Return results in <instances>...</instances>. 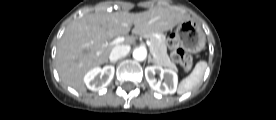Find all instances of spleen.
I'll return each instance as SVG.
<instances>
[{
  "mask_svg": "<svg viewBox=\"0 0 276 120\" xmlns=\"http://www.w3.org/2000/svg\"><path fill=\"white\" fill-rule=\"evenodd\" d=\"M206 68H207V62L199 61L195 65V68L192 71V73L180 82L177 93L179 95H182L190 91L196 85H198L203 78Z\"/></svg>",
  "mask_w": 276,
  "mask_h": 120,
  "instance_id": "spleen-1",
  "label": "spleen"
}]
</instances>
